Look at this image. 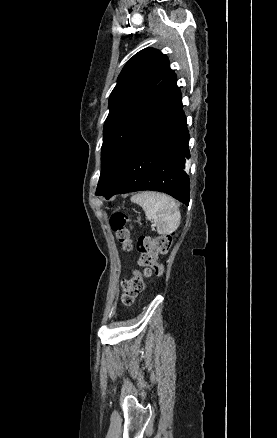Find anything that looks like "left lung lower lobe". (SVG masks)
Instances as JSON below:
<instances>
[{"mask_svg":"<svg viewBox=\"0 0 277 438\" xmlns=\"http://www.w3.org/2000/svg\"><path fill=\"white\" fill-rule=\"evenodd\" d=\"M189 133L184 113L151 95L137 115L132 142L123 167L101 195L140 190L167 193L189 204V178L182 170L189 158Z\"/></svg>","mask_w":277,"mask_h":438,"instance_id":"left-lung-lower-lobe-1","label":"left lung lower lobe"}]
</instances>
